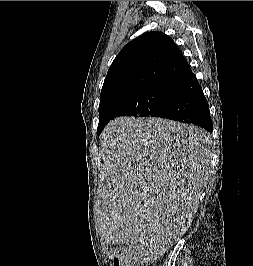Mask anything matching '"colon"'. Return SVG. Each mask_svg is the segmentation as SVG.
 <instances>
[{"label":"colon","instance_id":"colon-1","mask_svg":"<svg viewBox=\"0 0 253 266\" xmlns=\"http://www.w3.org/2000/svg\"><path fill=\"white\" fill-rule=\"evenodd\" d=\"M114 266H135L132 254L122 248L114 247L110 251Z\"/></svg>","mask_w":253,"mask_h":266}]
</instances>
